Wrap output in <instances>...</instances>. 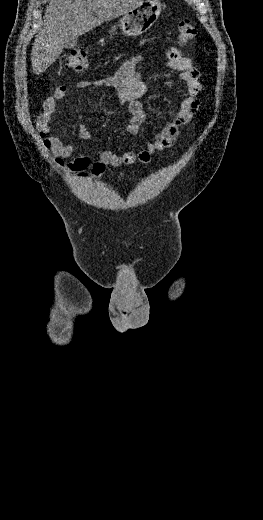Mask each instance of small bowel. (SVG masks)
I'll return each mask as SVG.
<instances>
[{
	"label": "small bowel",
	"mask_w": 263,
	"mask_h": 520,
	"mask_svg": "<svg viewBox=\"0 0 263 520\" xmlns=\"http://www.w3.org/2000/svg\"><path fill=\"white\" fill-rule=\"evenodd\" d=\"M167 67L180 73V78L185 84L186 95L180 100L178 108L171 111V121L161 130L157 131L154 138L144 149L134 153H114L110 150H101L97 160L92 162L90 157L80 155L70 161L65 159L72 156L74 147L62 142L58 137H50L49 143L55 157V163L64 171L68 172L74 179L79 181H90L102 175L107 166L119 167L132 165L136 162L146 164L151 157L159 151L166 150L174 145L179 135L181 126L188 124L199 108V93L201 84L199 71L193 66L192 61L179 49L170 47L166 51ZM141 61L140 55L127 59L118 71L109 77L97 80H81L77 83L79 89L88 87L113 88L118 95L119 101L127 103L130 119L126 130L130 134H137L146 119L145 110L141 98L145 95L147 87L137 71V65ZM167 86L172 82L167 81ZM69 88L59 86L53 95L49 96L43 103V112L38 117L37 126L42 132H48L52 116L56 110L57 101L67 96ZM79 138L84 142L92 140V136L85 126L81 127ZM89 170V172H87Z\"/></svg>",
	"instance_id": "obj_1"
}]
</instances>
